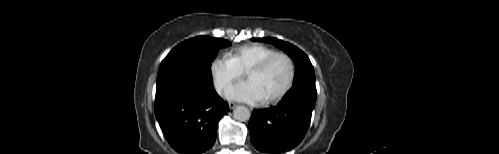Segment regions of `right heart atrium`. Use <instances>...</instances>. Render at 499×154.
<instances>
[{"mask_svg":"<svg viewBox=\"0 0 499 154\" xmlns=\"http://www.w3.org/2000/svg\"><path fill=\"white\" fill-rule=\"evenodd\" d=\"M209 73L214 88L218 93H223L243 75V71L227 55L215 57L210 62Z\"/></svg>","mask_w":499,"mask_h":154,"instance_id":"obj_1","label":"right heart atrium"}]
</instances>
